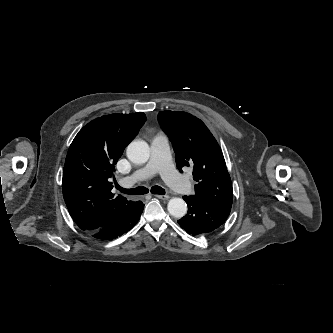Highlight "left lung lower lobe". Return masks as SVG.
I'll return each instance as SVG.
<instances>
[{
	"label": "left lung lower lobe",
	"instance_id": "left-lung-lower-lobe-1",
	"mask_svg": "<svg viewBox=\"0 0 333 333\" xmlns=\"http://www.w3.org/2000/svg\"><path fill=\"white\" fill-rule=\"evenodd\" d=\"M183 199L188 205V212L178 223L193 236L217 229L226 221L231 211L230 208L207 204L194 196H184Z\"/></svg>",
	"mask_w": 333,
	"mask_h": 333
}]
</instances>
